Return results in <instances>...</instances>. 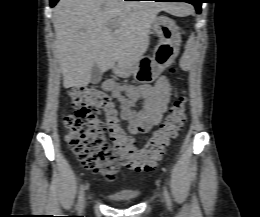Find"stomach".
<instances>
[{"label":"stomach","instance_id":"1","mask_svg":"<svg viewBox=\"0 0 260 217\" xmlns=\"http://www.w3.org/2000/svg\"><path fill=\"white\" fill-rule=\"evenodd\" d=\"M152 30L159 37L153 56L141 57L128 68L118 65L116 75L123 78L133 76L138 83H152L175 60L179 53L180 35L174 21L166 16L157 17Z\"/></svg>","mask_w":260,"mask_h":217}]
</instances>
